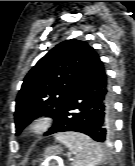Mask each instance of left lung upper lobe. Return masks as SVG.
Segmentation results:
<instances>
[{
	"label": "left lung upper lobe",
	"instance_id": "1",
	"mask_svg": "<svg viewBox=\"0 0 135 166\" xmlns=\"http://www.w3.org/2000/svg\"><path fill=\"white\" fill-rule=\"evenodd\" d=\"M96 52L85 41L66 40L51 49L26 75L16 99V134L33 119H57Z\"/></svg>",
	"mask_w": 135,
	"mask_h": 166
}]
</instances>
